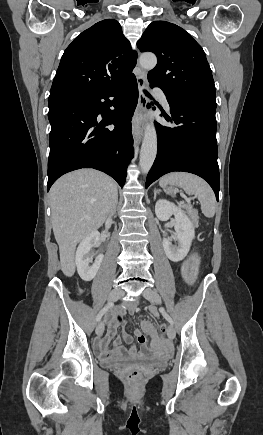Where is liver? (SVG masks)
Returning <instances> with one entry per match:
<instances>
[{
	"instance_id": "obj_1",
	"label": "liver",
	"mask_w": 263,
	"mask_h": 435,
	"mask_svg": "<svg viewBox=\"0 0 263 435\" xmlns=\"http://www.w3.org/2000/svg\"><path fill=\"white\" fill-rule=\"evenodd\" d=\"M116 182L94 169H81L58 179L50 189L52 227L59 245L61 270L75 273L76 245L108 218L118 197Z\"/></svg>"
}]
</instances>
